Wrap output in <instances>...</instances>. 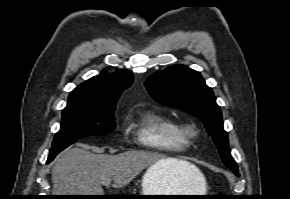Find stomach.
<instances>
[{
  "instance_id": "1",
  "label": "stomach",
  "mask_w": 290,
  "mask_h": 199,
  "mask_svg": "<svg viewBox=\"0 0 290 199\" xmlns=\"http://www.w3.org/2000/svg\"><path fill=\"white\" fill-rule=\"evenodd\" d=\"M181 179L177 175L167 173L160 164L149 167L142 177L141 195H203L206 190V181L201 172L197 173L192 182V190L178 193L177 189L181 184ZM157 199H195L192 197H145Z\"/></svg>"
}]
</instances>
